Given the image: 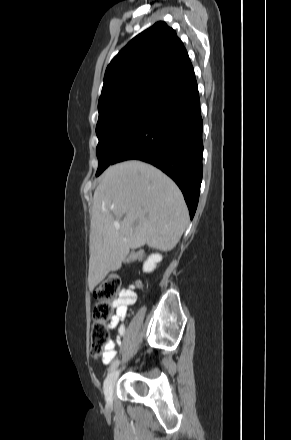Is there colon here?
<instances>
[{"label":"colon","mask_w":291,"mask_h":440,"mask_svg":"<svg viewBox=\"0 0 291 440\" xmlns=\"http://www.w3.org/2000/svg\"><path fill=\"white\" fill-rule=\"evenodd\" d=\"M123 291L121 281L116 275L109 276L94 290L97 303L93 309L90 328V353L94 357H103L108 348V329L105 321L112 312L109 300L117 297Z\"/></svg>","instance_id":"1"}]
</instances>
